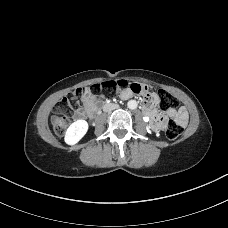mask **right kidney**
<instances>
[{"mask_svg": "<svg viewBox=\"0 0 228 228\" xmlns=\"http://www.w3.org/2000/svg\"><path fill=\"white\" fill-rule=\"evenodd\" d=\"M88 123L85 120H77L73 122L66 131L65 142L68 145L78 143L88 131Z\"/></svg>", "mask_w": 228, "mask_h": 228, "instance_id": "right-kidney-1", "label": "right kidney"}]
</instances>
